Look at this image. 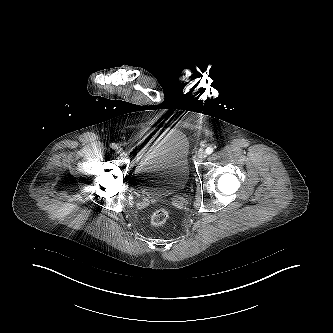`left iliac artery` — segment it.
<instances>
[{
  "label": "left iliac artery",
  "instance_id": "left-iliac-artery-1",
  "mask_svg": "<svg viewBox=\"0 0 333 333\" xmlns=\"http://www.w3.org/2000/svg\"><path fill=\"white\" fill-rule=\"evenodd\" d=\"M213 152V148L212 147H208L207 149H206V153L207 154H211Z\"/></svg>",
  "mask_w": 333,
  "mask_h": 333
}]
</instances>
